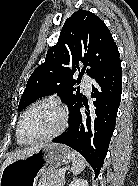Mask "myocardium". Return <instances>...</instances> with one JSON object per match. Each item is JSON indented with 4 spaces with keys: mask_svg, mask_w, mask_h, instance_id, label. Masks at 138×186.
I'll use <instances>...</instances> for the list:
<instances>
[{
    "mask_svg": "<svg viewBox=\"0 0 138 186\" xmlns=\"http://www.w3.org/2000/svg\"><path fill=\"white\" fill-rule=\"evenodd\" d=\"M42 106H50L53 107L55 109H57L60 113H61V124L60 126L52 133L43 136V137H39V138H35V139H31V140H26L22 137L21 135V127L23 124L24 119L26 118V116L34 109L38 108V107H42ZM68 123V111L67 109L62 106L60 103L53 101V100H44L41 102H38L32 106H30L28 109H26L24 111V113L21 115L20 119H19V123L16 129V135L17 138L20 142H22L23 144H34V143H38V142H42V141H47V140H51L53 138H55L56 136H58L59 134H61Z\"/></svg>",
    "mask_w": 138,
    "mask_h": 186,
    "instance_id": "obj_1",
    "label": "myocardium"
}]
</instances>
